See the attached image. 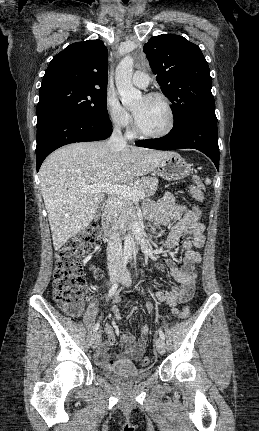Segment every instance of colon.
<instances>
[{
  "label": "colon",
  "instance_id": "colon-1",
  "mask_svg": "<svg viewBox=\"0 0 259 431\" xmlns=\"http://www.w3.org/2000/svg\"><path fill=\"white\" fill-rule=\"evenodd\" d=\"M192 197L201 202L204 200V184L197 175L193 177V185L190 188ZM191 217L194 220L200 218L202 211L197 202L190 205ZM102 230L93 226L82 232L75 238L70 239L57 252L54 269V300L59 308L66 314L76 317L81 313L82 301L86 294V278L82 266L83 255L89 253L93 247L101 243ZM96 277H101L99 269H93ZM190 310L186 306L179 312V319L185 320L189 317ZM152 364V358L146 356L142 365L147 367Z\"/></svg>",
  "mask_w": 259,
  "mask_h": 431
}]
</instances>
